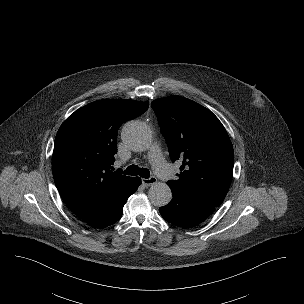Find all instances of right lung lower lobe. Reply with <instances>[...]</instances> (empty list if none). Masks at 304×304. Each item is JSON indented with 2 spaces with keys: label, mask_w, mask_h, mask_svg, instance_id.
<instances>
[{
  "label": "right lung lower lobe",
  "mask_w": 304,
  "mask_h": 304,
  "mask_svg": "<svg viewBox=\"0 0 304 304\" xmlns=\"http://www.w3.org/2000/svg\"><path fill=\"white\" fill-rule=\"evenodd\" d=\"M139 177L131 178L96 215L85 220L89 225L103 228L118 221L123 213V206L139 185Z\"/></svg>",
  "instance_id": "98d812e1"
}]
</instances>
